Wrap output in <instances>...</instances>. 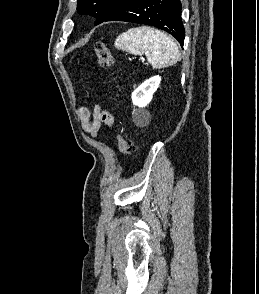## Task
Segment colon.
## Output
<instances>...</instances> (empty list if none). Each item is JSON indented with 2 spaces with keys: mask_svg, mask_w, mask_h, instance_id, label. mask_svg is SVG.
Here are the masks:
<instances>
[{
  "mask_svg": "<svg viewBox=\"0 0 259 294\" xmlns=\"http://www.w3.org/2000/svg\"><path fill=\"white\" fill-rule=\"evenodd\" d=\"M93 52L97 63L104 69H108L111 67L113 63V57L108 46L103 42H96L93 45ZM117 142L118 147L122 155L127 156L130 155L134 151V146L128 137L117 131Z\"/></svg>",
  "mask_w": 259,
  "mask_h": 294,
  "instance_id": "1",
  "label": "colon"
}]
</instances>
